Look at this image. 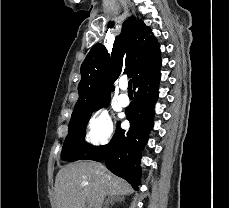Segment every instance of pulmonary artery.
Returning a JSON list of instances; mask_svg holds the SVG:
<instances>
[{
	"label": "pulmonary artery",
	"instance_id": "e3ab8cb5",
	"mask_svg": "<svg viewBox=\"0 0 229 208\" xmlns=\"http://www.w3.org/2000/svg\"><path fill=\"white\" fill-rule=\"evenodd\" d=\"M120 88H121L122 93L119 96V103L122 106H127L129 104V97L126 93V89H127V81L126 80L121 81Z\"/></svg>",
	"mask_w": 229,
	"mask_h": 208
}]
</instances>
